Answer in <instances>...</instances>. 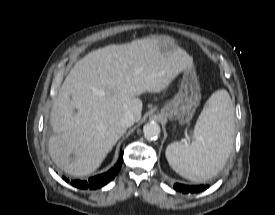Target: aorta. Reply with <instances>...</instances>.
I'll use <instances>...</instances> for the list:
<instances>
[{
	"label": "aorta",
	"instance_id": "1",
	"mask_svg": "<svg viewBox=\"0 0 275 215\" xmlns=\"http://www.w3.org/2000/svg\"><path fill=\"white\" fill-rule=\"evenodd\" d=\"M143 134L147 139H155L160 135V126L156 122H149L144 125Z\"/></svg>",
	"mask_w": 275,
	"mask_h": 215
}]
</instances>
